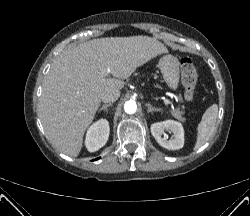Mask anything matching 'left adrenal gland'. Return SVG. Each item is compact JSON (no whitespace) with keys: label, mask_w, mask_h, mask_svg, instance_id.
Wrapping results in <instances>:
<instances>
[{"label":"left adrenal gland","mask_w":250,"mask_h":216,"mask_svg":"<svg viewBox=\"0 0 250 216\" xmlns=\"http://www.w3.org/2000/svg\"><path fill=\"white\" fill-rule=\"evenodd\" d=\"M146 106L148 107V110L147 112L150 113V112H158V111H161L160 108H155L153 107L151 104L147 103Z\"/></svg>","instance_id":"obj_1"}]
</instances>
